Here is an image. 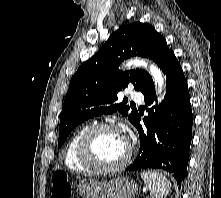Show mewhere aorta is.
<instances>
[{"label":"aorta","instance_id":"obj_1","mask_svg":"<svg viewBox=\"0 0 221 198\" xmlns=\"http://www.w3.org/2000/svg\"><path fill=\"white\" fill-rule=\"evenodd\" d=\"M126 66H136V67H143L148 69L149 73L152 75L155 84L157 86L158 94L162 92L163 87H165V79L163 76L162 71L154 64H148L145 60H140V59H134L130 60ZM164 95V94H163ZM163 95L160 96L163 97Z\"/></svg>","mask_w":221,"mask_h":198}]
</instances>
